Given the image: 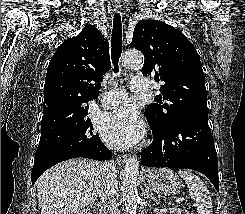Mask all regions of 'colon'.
Segmentation results:
<instances>
[{
	"instance_id": "5ec220e1",
	"label": "colon",
	"mask_w": 245,
	"mask_h": 214,
	"mask_svg": "<svg viewBox=\"0 0 245 214\" xmlns=\"http://www.w3.org/2000/svg\"><path fill=\"white\" fill-rule=\"evenodd\" d=\"M185 214H193V213H190V212H186Z\"/></svg>"
}]
</instances>
